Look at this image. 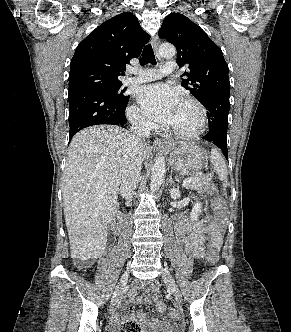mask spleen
I'll return each instance as SVG.
<instances>
[{
  "label": "spleen",
  "instance_id": "spleen-1",
  "mask_svg": "<svg viewBox=\"0 0 291 332\" xmlns=\"http://www.w3.org/2000/svg\"><path fill=\"white\" fill-rule=\"evenodd\" d=\"M210 161L212 165L214 166V170L216 174L218 175L220 180H226L228 171H227V166L224 161V158L222 155L219 153V151L216 148H213L211 150V157Z\"/></svg>",
  "mask_w": 291,
  "mask_h": 332
}]
</instances>
